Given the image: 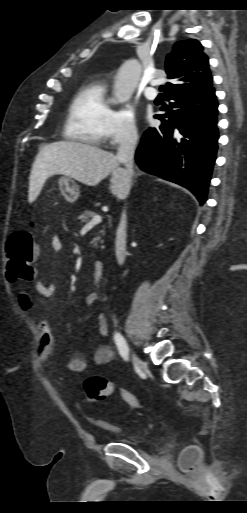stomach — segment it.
<instances>
[{
    "label": "stomach",
    "mask_w": 247,
    "mask_h": 513,
    "mask_svg": "<svg viewBox=\"0 0 247 513\" xmlns=\"http://www.w3.org/2000/svg\"><path fill=\"white\" fill-rule=\"evenodd\" d=\"M59 186L68 201H74L78 198L79 186L70 176H62L59 179Z\"/></svg>",
    "instance_id": "obj_1"
}]
</instances>
